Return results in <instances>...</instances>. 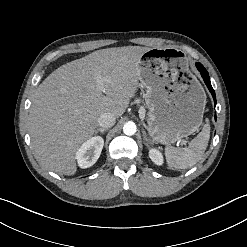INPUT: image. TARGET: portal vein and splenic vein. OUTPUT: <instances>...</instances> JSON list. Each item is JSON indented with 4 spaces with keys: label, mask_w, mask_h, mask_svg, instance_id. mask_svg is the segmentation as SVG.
Wrapping results in <instances>:
<instances>
[{
    "label": "portal vein and splenic vein",
    "mask_w": 247,
    "mask_h": 247,
    "mask_svg": "<svg viewBox=\"0 0 247 247\" xmlns=\"http://www.w3.org/2000/svg\"><path fill=\"white\" fill-rule=\"evenodd\" d=\"M98 86L102 89L103 88V85H102V83H101V80H99V84H98ZM182 144H186V142L185 141H183L182 142Z\"/></svg>",
    "instance_id": "portal-vein-and-splenic-vein-1"
}]
</instances>
